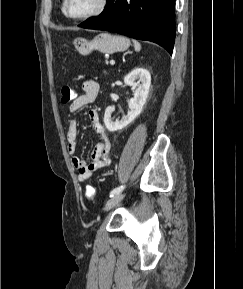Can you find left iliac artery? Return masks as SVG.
Here are the masks:
<instances>
[{
    "mask_svg": "<svg viewBox=\"0 0 243 289\" xmlns=\"http://www.w3.org/2000/svg\"><path fill=\"white\" fill-rule=\"evenodd\" d=\"M124 188H125V185H121V186L113 189V190L110 192V197H113V196L116 195V194H120V193L123 191Z\"/></svg>",
    "mask_w": 243,
    "mask_h": 289,
    "instance_id": "left-iliac-artery-1",
    "label": "left iliac artery"
}]
</instances>
